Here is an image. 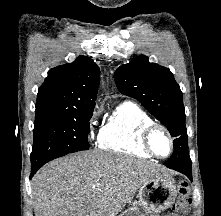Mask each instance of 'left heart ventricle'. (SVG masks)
Wrapping results in <instances>:
<instances>
[{
	"label": "left heart ventricle",
	"instance_id": "b2bd125f",
	"mask_svg": "<svg viewBox=\"0 0 221 216\" xmlns=\"http://www.w3.org/2000/svg\"><path fill=\"white\" fill-rule=\"evenodd\" d=\"M152 144L156 152L160 155H166L170 150L168 138L162 132H156L153 135Z\"/></svg>",
	"mask_w": 221,
	"mask_h": 216
}]
</instances>
